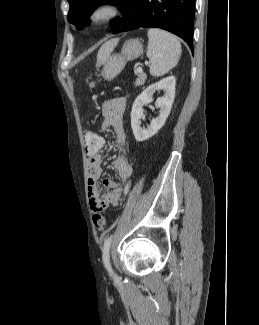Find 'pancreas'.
<instances>
[{"instance_id": "pancreas-1", "label": "pancreas", "mask_w": 259, "mask_h": 325, "mask_svg": "<svg viewBox=\"0 0 259 325\" xmlns=\"http://www.w3.org/2000/svg\"><path fill=\"white\" fill-rule=\"evenodd\" d=\"M137 79L135 81V86H141L145 83V80L147 79V75L143 72L137 73Z\"/></svg>"}]
</instances>
